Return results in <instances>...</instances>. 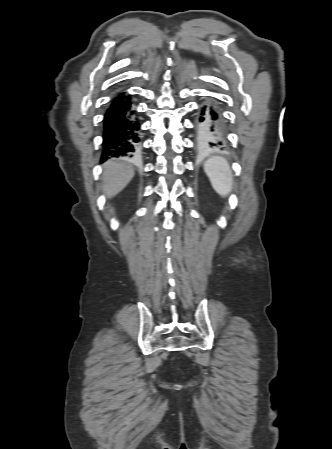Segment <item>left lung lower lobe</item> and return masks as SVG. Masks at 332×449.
Listing matches in <instances>:
<instances>
[{
  "instance_id": "0a47b994",
  "label": "left lung lower lobe",
  "mask_w": 332,
  "mask_h": 449,
  "mask_svg": "<svg viewBox=\"0 0 332 449\" xmlns=\"http://www.w3.org/2000/svg\"><path fill=\"white\" fill-rule=\"evenodd\" d=\"M196 133L199 151L224 149L226 146L223 117L218 105L212 100H206L198 110Z\"/></svg>"
}]
</instances>
